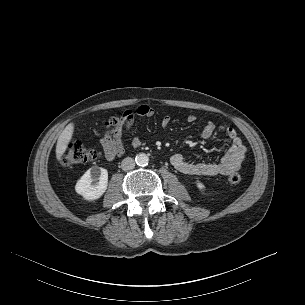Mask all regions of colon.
Returning a JSON list of instances; mask_svg holds the SVG:
<instances>
[{
  "instance_id": "5ec220e1",
  "label": "colon",
  "mask_w": 305,
  "mask_h": 305,
  "mask_svg": "<svg viewBox=\"0 0 305 305\" xmlns=\"http://www.w3.org/2000/svg\"><path fill=\"white\" fill-rule=\"evenodd\" d=\"M118 120L114 119L108 122V126H117ZM99 153L94 149H87L81 143L73 142L70 143L65 152L62 154L61 162L66 167H72L82 165L88 162H92L98 159ZM242 178L239 174H231L227 181L231 185H237L241 182Z\"/></svg>"
}]
</instances>
